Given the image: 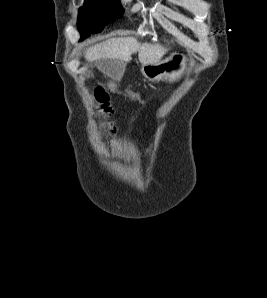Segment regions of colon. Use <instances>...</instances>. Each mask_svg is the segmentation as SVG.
<instances>
[{
    "label": "colon",
    "instance_id": "1",
    "mask_svg": "<svg viewBox=\"0 0 267 298\" xmlns=\"http://www.w3.org/2000/svg\"><path fill=\"white\" fill-rule=\"evenodd\" d=\"M95 96L98 99V101L100 103H102L103 108H105V110H109L107 108L108 95L106 94V92L102 88H97L95 90Z\"/></svg>",
    "mask_w": 267,
    "mask_h": 298
}]
</instances>
